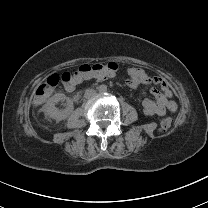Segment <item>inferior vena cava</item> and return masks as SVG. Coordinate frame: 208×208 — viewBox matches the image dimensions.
<instances>
[{
	"label": "inferior vena cava",
	"instance_id": "1",
	"mask_svg": "<svg viewBox=\"0 0 208 208\" xmlns=\"http://www.w3.org/2000/svg\"><path fill=\"white\" fill-rule=\"evenodd\" d=\"M96 95V91L94 89H86L84 92V98L90 99Z\"/></svg>",
	"mask_w": 208,
	"mask_h": 208
}]
</instances>
